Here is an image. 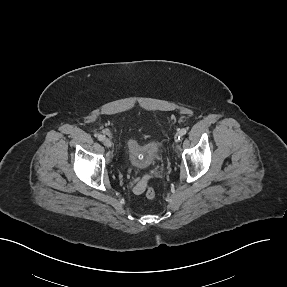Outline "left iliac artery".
Returning a JSON list of instances; mask_svg holds the SVG:
<instances>
[{"label": "left iliac artery", "mask_w": 287, "mask_h": 287, "mask_svg": "<svg viewBox=\"0 0 287 287\" xmlns=\"http://www.w3.org/2000/svg\"><path fill=\"white\" fill-rule=\"evenodd\" d=\"M187 130L185 128L181 129L177 135H178V139L182 138L185 134H186Z\"/></svg>", "instance_id": "1"}]
</instances>
